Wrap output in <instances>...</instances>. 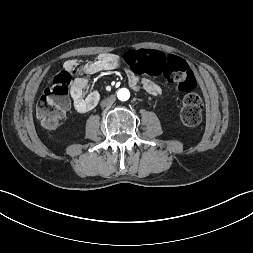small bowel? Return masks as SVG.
<instances>
[{
    "label": "small bowel",
    "mask_w": 253,
    "mask_h": 253,
    "mask_svg": "<svg viewBox=\"0 0 253 253\" xmlns=\"http://www.w3.org/2000/svg\"><path fill=\"white\" fill-rule=\"evenodd\" d=\"M122 58L114 53H102L93 61L79 63L75 59L65 62V71L72 73L74 69L86 75L96 74L102 71L116 70L121 64ZM127 79L129 85L135 90H143L152 96H157L161 93L160 86L154 81L141 77L134 70L127 71ZM88 85V80L85 76L75 77L71 86V97L74 107L79 113H86L92 110L99 101V93L97 90H90L85 94V89Z\"/></svg>",
    "instance_id": "small-bowel-1"
}]
</instances>
